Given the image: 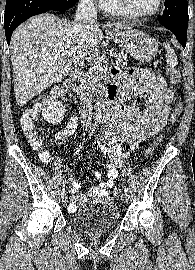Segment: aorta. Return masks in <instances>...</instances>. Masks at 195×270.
<instances>
[{"label":"aorta","mask_w":195,"mask_h":270,"mask_svg":"<svg viewBox=\"0 0 195 270\" xmlns=\"http://www.w3.org/2000/svg\"><path fill=\"white\" fill-rule=\"evenodd\" d=\"M103 109H104V101L98 100L97 101V116L98 117L102 116Z\"/></svg>","instance_id":"obj_1"}]
</instances>
